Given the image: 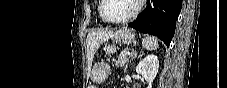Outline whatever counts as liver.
<instances>
[{"label": "liver", "instance_id": "6515ba94", "mask_svg": "<svg viewBox=\"0 0 227 88\" xmlns=\"http://www.w3.org/2000/svg\"><path fill=\"white\" fill-rule=\"evenodd\" d=\"M113 36L112 30H93L87 35V57L88 62L91 65L94 55L100 45Z\"/></svg>", "mask_w": 227, "mask_h": 88}]
</instances>
